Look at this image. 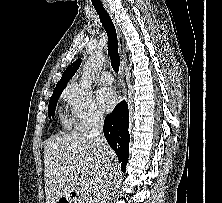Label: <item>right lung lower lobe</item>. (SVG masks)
<instances>
[{
    "label": "right lung lower lobe",
    "mask_w": 222,
    "mask_h": 203,
    "mask_svg": "<svg viewBox=\"0 0 222 203\" xmlns=\"http://www.w3.org/2000/svg\"><path fill=\"white\" fill-rule=\"evenodd\" d=\"M129 116L128 106L125 101L116 105L111 114H109L104 122V135L118 156V160L121 162V169L126 171V165L128 161V145H129Z\"/></svg>",
    "instance_id": "obj_1"
}]
</instances>
